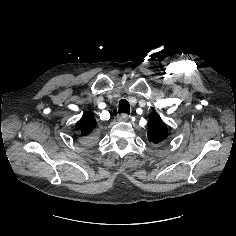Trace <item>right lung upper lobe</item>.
Instances as JSON below:
<instances>
[{
	"label": "right lung upper lobe",
	"instance_id": "right-lung-upper-lobe-1",
	"mask_svg": "<svg viewBox=\"0 0 236 236\" xmlns=\"http://www.w3.org/2000/svg\"><path fill=\"white\" fill-rule=\"evenodd\" d=\"M96 124L93 114L89 111L85 112L82 118L77 122L76 129L81 131L82 136H86Z\"/></svg>",
	"mask_w": 236,
	"mask_h": 236
}]
</instances>
